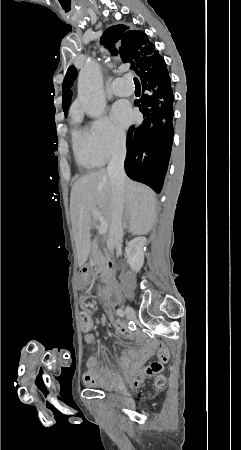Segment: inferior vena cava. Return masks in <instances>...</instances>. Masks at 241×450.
<instances>
[{"mask_svg": "<svg viewBox=\"0 0 241 450\" xmlns=\"http://www.w3.org/2000/svg\"><path fill=\"white\" fill-rule=\"evenodd\" d=\"M126 158V136H123L121 144L113 154L107 172L110 178L113 194V214L110 224L107 246L109 250H114L116 240L123 238L124 220V182L126 178L124 170V160Z\"/></svg>", "mask_w": 241, "mask_h": 450, "instance_id": "inferior-vena-cava-1", "label": "inferior vena cava"}]
</instances>
